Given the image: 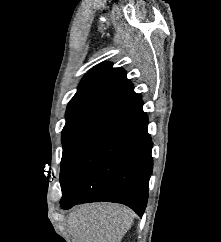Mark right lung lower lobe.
<instances>
[{
    "label": "right lung lower lobe",
    "instance_id": "98d812e1",
    "mask_svg": "<svg viewBox=\"0 0 221 242\" xmlns=\"http://www.w3.org/2000/svg\"><path fill=\"white\" fill-rule=\"evenodd\" d=\"M139 99L98 126L60 176L62 209L81 203H122L142 217L153 170L148 117Z\"/></svg>",
    "mask_w": 221,
    "mask_h": 242
}]
</instances>
